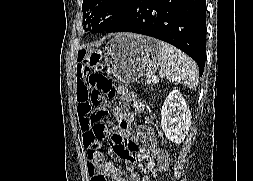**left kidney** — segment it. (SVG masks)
Wrapping results in <instances>:
<instances>
[{"instance_id":"obj_1","label":"left kidney","mask_w":253,"mask_h":181,"mask_svg":"<svg viewBox=\"0 0 253 181\" xmlns=\"http://www.w3.org/2000/svg\"><path fill=\"white\" fill-rule=\"evenodd\" d=\"M191 126V112L180 91L172 90L161 110V127L167 139L174 143L184 141Z\"/></svg>"}]
</instances>
